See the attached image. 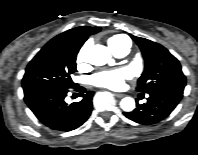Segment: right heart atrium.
I'll return each instance as SVG.
<instances>
[{
	"mask_svg": "<svg viewBox=\"0 0 198 155\" xmlns=\"http://www.w3.org/2000/svg\"><path fill=\"white\" fill-rule=\"evenodd\" d=\"M87 49L88 47L85 45L83 46L78 54H77V57H76V62L79 66H82L84 65L85 61H86V58H87Z\"/></svg>",
	"mask_w": 198,
	"mask_h": 155,
	"instance_id": "right-heart-atrium-1",
	"label": "right heart atrium"
}]
</instances>
